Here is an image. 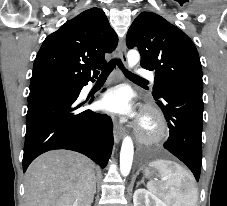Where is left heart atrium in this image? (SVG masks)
I'll use <instances>...</instances> for the list:
<instances>
[{"label": "left heart atrium", "instance_id": "obj_1", "mask_svg": "<svg viewBox=\"0 0 227 206\" xmlns=\"http://www.w3.org/2000/svg\"><path fill=\"white\" fill-rule=\"evenodd\" d=\"M101 105L107 111L126 117H133L136 114L129 92L123 87L107 91L102 97Z\"/></svg>", "mask_w": 227, "mask_h": 206}]
</instances>
